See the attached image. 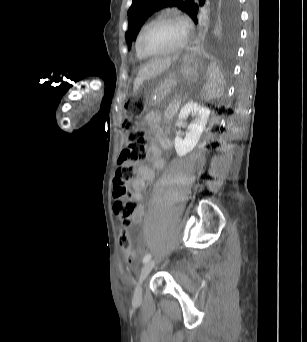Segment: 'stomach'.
I'll return each instance as SVG.
<instances>
[{"mask_svg":"<svg viewBox=\"0 0 307 342\" xmlns=\"http://www.w3.org/2000/svg\"><path fill=\"white\" fill-rule=\"evenodd\" d=\"M193 58L190 55L176 57L172 65L159 75L150 78L139 88L149 104L180 99L193 78Z\"/></svg>","mask_w":307,"mask_h":342,"instance_id":"1","label":"stomach"}]
</instances>
